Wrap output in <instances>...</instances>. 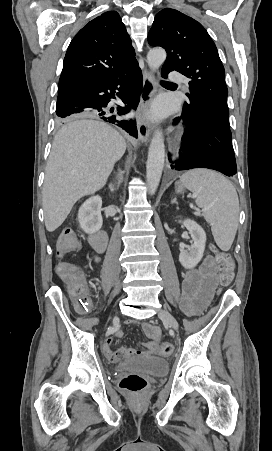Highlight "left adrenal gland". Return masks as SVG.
<instances>
[{"label":"left adrenal gland","mask_w":272,"mask_h":451,"mask_svg":"<svg viewBox=\"0 0 272 451\" xmlns=\"http://www.w3.org/2000/svg\"><path fill=\"white\" fill-rule=\"evenodd\" d=\"M177 198H174V200H171V204H178V202H176Z\"/></svg>","instance_id":"obj_1"}]
</instances>
